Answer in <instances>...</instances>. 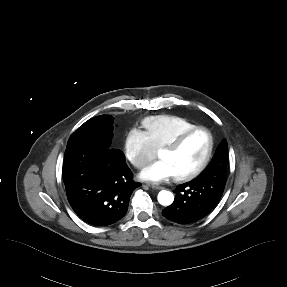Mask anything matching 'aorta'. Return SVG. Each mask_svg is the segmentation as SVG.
<instances>
[{"mask_svg": "<svg viewBox=\"0 0 287 287\" xmlns=\"http://www.w3.org/2000/svg\"><path fill=\"white\" fill-rule=\"evenodd\" d=\"M158 202L163 206H169L174 201V195L172 192L167 190H162L158 193L157 196Z\"/></svg>", "mask_w": 287, "mask_h": 287, "instance_id": "obj_1", "label": "aorta"}]
</instances>
